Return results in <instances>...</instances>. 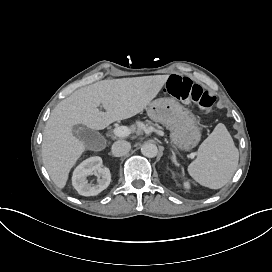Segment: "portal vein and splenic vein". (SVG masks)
<instances>
[{
    "instance_id": "1",
    "label": "portal vein and splenic vein",
    "mask_w": 272,
    "mask_h": 272,
    "mask_svg": "<svg viewBox=\"0 0 272 272\" xmlns=\"http://www.w3.org/2000/svg\"><path fill=\"white\" fill-rule=\"evenodd\" d=\"M113 132L118 137H127L131 134V130L127 126L116 127Z\"/></svg>"
}]
</instances>
